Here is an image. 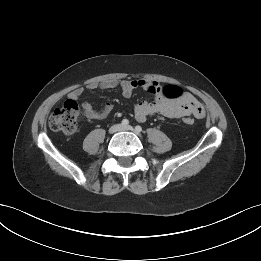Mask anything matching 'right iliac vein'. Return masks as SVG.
<instances>
[{"label":"right iliac vein","instance_id":"1","mask_svg":"<svg viewBox=\"0 0 261 261\" xmlns=\"http://www.w3.org/2000/svg\"><path fill=\"white\" fill-rule=\"evenodd\" d=\"M121 128H122V126H121L120 124H115V125H113V126L110 127L109 133H110V134H114V133L120 131Z\"/></svg>","mask_w":261,"mask_h":261}]
</instances>
